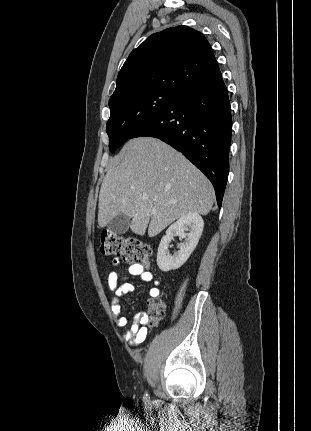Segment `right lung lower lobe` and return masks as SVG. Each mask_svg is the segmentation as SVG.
<instances>
[{
	"mask_svg": "<svg viewBox=\"0 0 311 431\" xmlns=\"http://www.w3.org/2000/svg\"><path fill=\"white\" fill-rule=\"evenodd\" d=\"M231 128L230 101L220 75L179 94L130 138H159L180 151L211 181L221 207L229 173Z\"/></svg>",
	"mask_w": 311,
	"mask_h": 431,
	"instance_id": "right-lung-lower-lobe-1",
	"label": "right lung lower lobe"
}]
</instances>
